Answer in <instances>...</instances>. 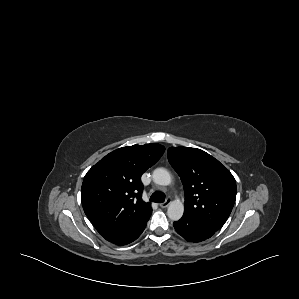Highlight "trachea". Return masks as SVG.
<instances>
[{"label":"trachea","mask_w":299,"mask_h":299,"mask_svg":"<svg viewBox=\"0 0 299 299\" xmlns=\"http://www.w3.org/2000/svg\"><path fill=\"white\" fill-rule=\"evenodd\" d=\"M150 201L163 203L165 201V195L162 192H154L150 197Z\"/></svg>","instance_id":"1"}]
</instances>
